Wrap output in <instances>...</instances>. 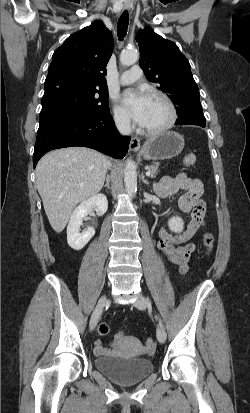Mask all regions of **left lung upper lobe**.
I'll return each instance as SVG.
<instances>
[{
  "label": "left lung upper lobe",
  "instance_id": "obj_1",
  "mask_svg": "<svg viewBox=\"0 0 250 413\" xmlns=\"http://www.w3.org/2000/svg\"><path fill=\"white\" fill-rule=\"evenodd\" d=\"M140 48L139 64L147 79L158 83L177 109L200 104V93L191 73L187 58L178 46L156 34L151 28L140 30L136 35Z\"/></svg>",
  "mask_w": 250,
  "mask_h": 413
}]
</instances>
